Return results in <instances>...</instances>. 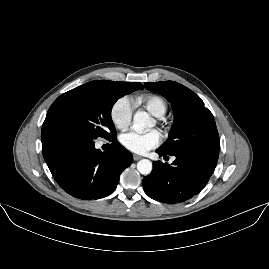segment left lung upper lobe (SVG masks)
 I'll return each mask as SVG.
<instances>
[{"label":"left lung upper lobe","instance_id":"1","mask_svg":"<svg viewBox=\"0 0 269 269\" xmlns=\"http://www.w3.org/2000/svg\"><path fill=\"white\" fill-rule=\"evenodd\" d=\"M144 87L172 104L174 124L162 149L218 160L219 135L215 120L199 96L174 81L145 83Z\"/></svg>","mask_w":269,"mask_h":269}]
</instances>
